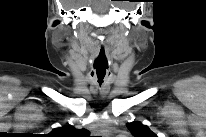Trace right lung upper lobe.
<instances>
[{"instance_id":"right-lung-upper-lobe-1","label":"right lung upper lobe","mask_w":206,"mask_h":137,"mask_svg":"<svg viewBox=\"0 0 206 137\" xmlns=\"http://www.w3.org/2000/svg\"><path fill=\"white\" fill-rule=\"evenodd\" d=\"M78 130H76L72 126H63L60 128H55L50 135L54 137H72L74 136L73 134H76Z\"/></svg>"}]
</instances>
